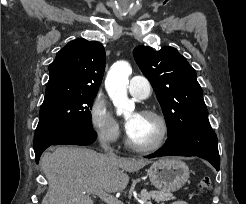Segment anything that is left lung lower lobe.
Masks as SVG:
<instances>
[{"label": "left lung lower lobe", "instance_id": "obj_1", "mask_svg": "<svg viewBox=\"0 0 246 204\" xmlns=\"http://www.w3.org/2000/svg\"><path fill=\"white\" fill-rule=\"evenodd\" d=\"M168 155L198 156L208 160L218 171L220 159L217 136L210 123L191 125L168 137L166 144L148 158Z\"/></svg>", "mask_w": 246, "mask_h": 204}]
</instances>
